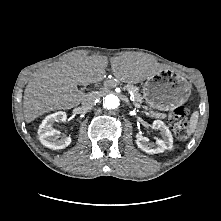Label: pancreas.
I'll return each instance as SVG.
<instances>
[{"label": "pancreas", "instance_id": "cf45deb5", "mask_svg": "<svg viewBox=\"0 0 221 221\" xmlns=\"http://www.w3.org/2000/svg\"><path fill=\"white\" fill-rule=\"evenodd\" d=\"M124 89H126L127 91H131L133 93V96H134V99H135V105L139 106L141 103H143V97L139 93V88L138 87H136L132 84H127L126 86H124ZM143 108L145 110H148V107H146V106H143ZM146 114L148 116H151V117L164 118V114L157 113V112H154L152 110H149L148 112H146Z\"/></svg>", "mask_w": 221, "mask_h": 221}]
</instances>
